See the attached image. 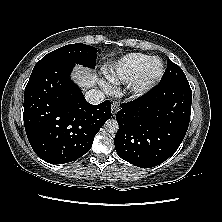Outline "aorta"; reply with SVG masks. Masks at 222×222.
Here are the masks:
<instances>
[{
  "mask_svg": "<svg viewBox=\"0 0 222 222\" xmlns=\"http://www.w3.org/2000/svg\"><path fill=\"white\" fill-rule=\"evenodd\" d=\"M105 129L109 133H116L119 129L118 122L114 119L107 120L106 123H105Z\"/></svg>",
  "mask_w": 222,
  "mask_h": 222,
  "instance_id": "aorta-1",
  "label": "aorta"
}]
</instances>
